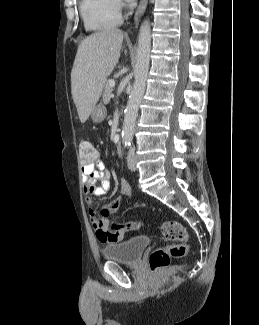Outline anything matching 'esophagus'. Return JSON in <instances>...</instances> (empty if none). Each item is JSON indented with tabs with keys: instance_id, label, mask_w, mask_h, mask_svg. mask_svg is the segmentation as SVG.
<instances>
[{
	"instance_id": "esophagus-1",
	"label": "esophagus",
	"mask_w": 259,
	"mask_h": 325,
	"mask_svg": "<svg viewBox=\"0 0 259 325\" xmlns=\"http://www.w3.org/2000/svg\"><path fill=\"white\" fill-rule=\"evenodd\" d=\"M148 0H140L139 6L134 15V25H137L139 22L140 17L144 13L147 7Z\"/></svg>"
}]
</instances>
